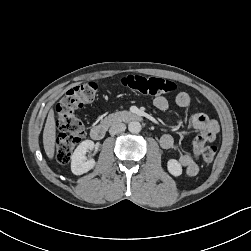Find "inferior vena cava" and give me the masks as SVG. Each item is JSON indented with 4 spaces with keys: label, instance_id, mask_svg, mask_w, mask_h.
<instances>
[{
    "label": "inferior vena cava",
    "instance_id": "602c4592",
    "mask_svg": "<svg viewBox=\"0 0 251 251\" xmlns=\"http://www.w3.org/2000/svg\"><path fill=\"white\" fill-rule=\"evenodd\" d=\"M126 129V125L124 123H115L113 124L110 129H109V133L111 135H115V134H118V133H121L123 131H125Z\"/></svg>",
    "mask_w": 251,
    "mask_h": 251
}]
</instances>
